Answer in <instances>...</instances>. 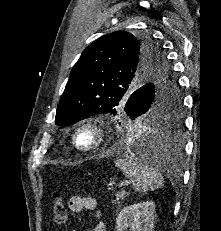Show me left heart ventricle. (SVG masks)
<instances>
[{"instance_id": "1", "label": "left heart ventricle", "mask_w": 221, "mask_h": 231, "mask_svg": "<svg viewBox=\"0 0 221 231\" xmlns=\"http://www.w3.org/2000/svg\"><path fill=\"white\" fill-rule=\"evenodd\" d=\"M78 141L83 146L90 145L93 141V135L89 130H84L79 134Z\"/></svg>"}]
</instances>
